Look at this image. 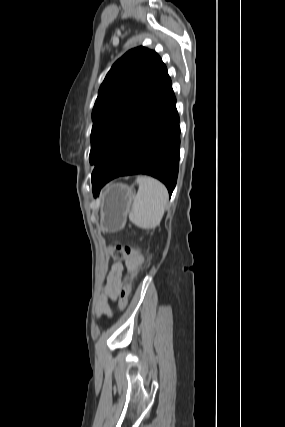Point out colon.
Here are the masks:
<instances>
[{"label": "colon", "mask_w": 285, "mask_h": 427, "mask_svg": "<svg viewBox=\"0 0 285 427\" xmlns=\"http://www.w3.org/2000/svg\"><path fill=\"white\" fill-rule=\"evenodd\" d=\"M109 255L114 260L130 261L141 255V251L129 245L113 244L108 248ZM141 267H130V276L128 282L122 286L118 293V307L123 310L128 302V297L131 289V284L139 274Z\"/></svg>", "instance_id": "colon-1"}]
</instances>
